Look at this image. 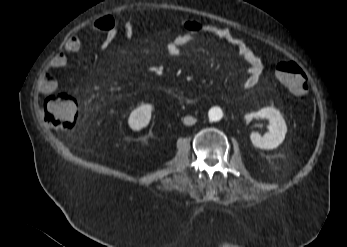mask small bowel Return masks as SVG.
Instances as JSON below:
<instances>
[{
	"label": "small bowel",
	"instance_id": "small-bowel-1",
	"mask_svg": "<svg viewBox=\"0 0 347 247\" xmlns=\"http://www.w3.org/2000/svg\"><path fill=\"white\" fill-rule=\"evenodd\" d=\"M181 24L184 28L183 31L166 45L165 50L169 57H178L192 41L209 37L220 39L233 47L237 56L248 65V76L243 82V88L251 89L257 85L259 75L263 69V61L238 32L228 27L210 25L192 19L183 20ZM92 26L95 30L105 33L100 45L101 50H104L119 33V28L115 25L111 16H104L95 20ZM133 32V23L128 22L124 25L123 34L125 38H131ZM81 46L82 42L78 36L73 35L66 40L62 52L49 61L48 69L38 78L37 87L41 93L50 95L56 91L58 82L52 72L64 68L68 63V56L77 54Z\"/></svg>",
	"mask_w": 347,
	"mask_h": 247
}]
</instances>
